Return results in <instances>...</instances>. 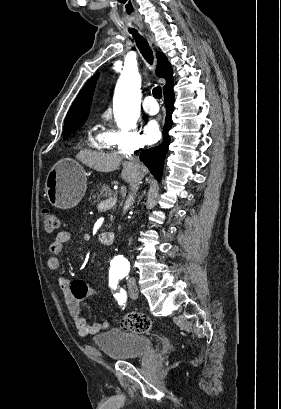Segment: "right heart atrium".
<instances>
[{
  "mask_svg": "<svg viewBox=\"0 0 281 409\" xmlns=\"http://www.w3.org/2000/svg\"><path fill=\"white\" fill-rule=\"evenodd\" d=\"M125 121L120 128L108 131L110 145L125 151H137L145 146L138 129L139 115H122Z\"/></svg>",
  "mask_w": 281,
  "mask_h": 409,
  "instance_id": "right-heart-atrium-1",
  "label": "right heart atrium"
}]
</instances>
